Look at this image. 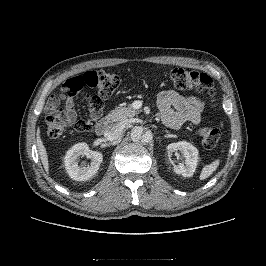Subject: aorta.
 <instances>
[{"mask_svg":"<svg viewBox=\"0 0 266 266\" xmlns=\"http://www.w3.org/2000/svg\"><path fill=\"white\" fill-rule=\"evenodd\" d=\"M131 139L134 142L141 141L142 143H149L153 139V134L151 131H144L143 127L135 126L131 130Z\"/></svg>","mask_w":266,"mask_h":266,"instance_id":"762f6f07","label":"aorta"}]
</instances>
